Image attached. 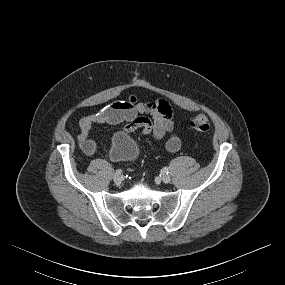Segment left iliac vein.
I'll use <instances>...</instances> for the list:
<instances>
[{
	"label": "left iliac vein",
	"mask_w": 285,
	"mask_h": 285,
	"mask_svg": "<svg viewBox=\"0 0 285 285\" xmlns=\"http://www.w3.org/2000/svg\"><path fill=\"white\" fill-rule=\"evenodd\" d=\"M161 180L164 182V183H169L171 181V177L167 174H163L162 177H161Z\"/></svg>",
	"instance_id": "4c4485c4"
}]
</instances>
